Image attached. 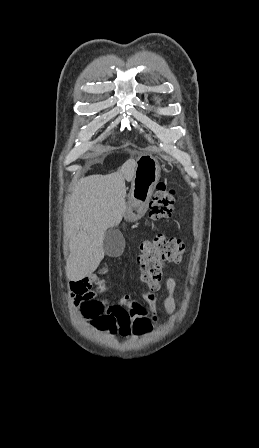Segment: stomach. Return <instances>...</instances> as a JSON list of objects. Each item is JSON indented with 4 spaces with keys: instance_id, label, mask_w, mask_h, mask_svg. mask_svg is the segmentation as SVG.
Instances as JSON below:
<instances>
[{
    "instance_id": "1",
    "label": "stomach",
    "mask_w": 259,
    "mask_h": 448,
    "mask_svg": "<svg viewBox=\"0 0 259 448\" xmlns=\"http://www.w3.org/2000/svg\"><path fill=\"white\" fill-rule=\"evenodd\" d=\"M160 178V166L151 154H142L136 160V168L131 182L129 200L136 206H126L125 221H140L145 214L148 204L157 182Z\"/></svg>"
}]
</instances>
